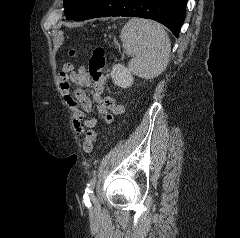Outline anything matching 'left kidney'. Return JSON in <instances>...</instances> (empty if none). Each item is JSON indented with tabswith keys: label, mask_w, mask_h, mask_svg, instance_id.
Instances as JSON below:
<instances>
[{
	"label": "left kidney",
	"mask_w": 240,
	"mask_h": 238,
	"mask_svg": "<svg viewBox=\"0 0 240 238\" xmlns=\"http://www.w3.org/2000/svg\"><path fill=\"white\" fill-rule=\"evenodd\" d=\"M113 83L122 88H128L133 84L131 71L122 64H116L111 71Z\"/></svg>",
	"instance_id": "5707ae66"
}]
</instances>
